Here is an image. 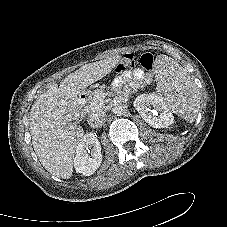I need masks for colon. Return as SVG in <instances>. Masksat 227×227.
Wrapping results in <instances>:
<instances>
[{"mask_svg":"<svg viewBox=\"0 0 227 227\" xmlns=\"http://www.w3.org/2000/svg\"><path fill=\"white\" fill-rule=\"evenodd\" d=\"M136 64L133 54H128L121 59L116 67L117 72H123ZM140 65L147 71L152 72L155 67V58L151 53H145L140 58Z\"/></svg>","mask_w":227,"mask_h":227,"instance_id":"1","label":"colon"}]
</instances>
